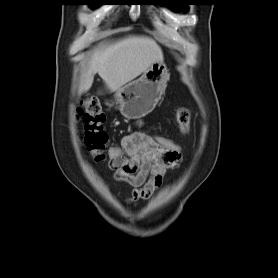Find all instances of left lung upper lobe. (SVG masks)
<instances>
[{
	"instance_id": "1",
	"label": "left lung upper lobe",
	"mask_w": 278,
	"mask_h": 278,
	"mask_svg": "<svg viewBox=\"0 0 278 278\" xmlns=\"http://www.w3.org/2000/svg\"><path fill=\"white\" fill-rule=\"evenodd\" d=\"M165 3H159V5L169 6L172 10H187L186 4L182 3L181 0H162Z\"/></svg>"
}]
</instances>
